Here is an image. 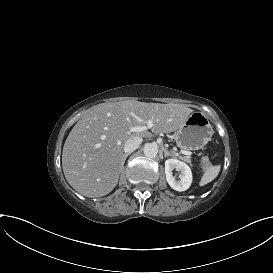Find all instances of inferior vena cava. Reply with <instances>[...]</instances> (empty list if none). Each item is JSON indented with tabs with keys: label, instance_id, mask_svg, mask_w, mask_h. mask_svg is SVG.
<instances>
[{
	"label": "inferior vena cava",
	"instance_id": "602c4592",
	"mask_svg": "<svg viewBox=\"0 0 273 273\" xmlns=\"http://www.w3.org/2000/svg\"><path fill=\"white\" fill-rule=\"evenodd\" d=\"M141 142H142V138L139 136H133L129 138L123 147L124 152L125 153L133 152L134 150L137 149V147L140 145Z\"/></svg>",
	"mask_w": 273,
	"mask_h": 273
}]
</instances>
